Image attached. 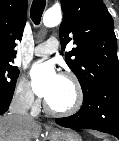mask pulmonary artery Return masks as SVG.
I'll list each match as a JSON object with an SVG mask.
<instances>
[{"instance_id": "1", "label": "pulmonary artery", "mask_w": 119, "mask_h": 141, "mask_svg": "<svg viewBox=\"0 0 119 141\" xmlns=\"http://www.w3.org/2000/svg\"><path fill=\"white\" fill-rule=\"evenodd\" d=\"M59 48V42L55 37H50L45 42L37 45L33 49V54L36 56H48Z\"/></svg>"}]
</instances>
